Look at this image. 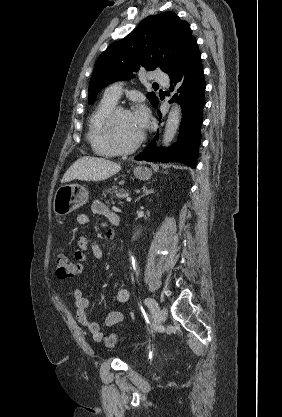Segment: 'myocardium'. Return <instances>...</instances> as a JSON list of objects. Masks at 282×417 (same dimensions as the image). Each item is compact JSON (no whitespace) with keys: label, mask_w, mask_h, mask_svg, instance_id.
I'll list each match as a JSON object with an SVG mask.
<instances>
[{"label":"myocardium","mask_w":282,"mask_h":417,"mask_svg":"<svg viewBox=\"0 0 282 417\" xmlns=\"http://www.w3.org/2000/svg\"><path fill=\"white\" fill-rule=\"evenodd\" d=\"M122 114H133L132 111L125 109L121 106H116L113 108L104 118V123L107 129V133L104 136L107 144L115 152H127L138 148L145 140L146 134L142 131L141 136L134 143L131 144H121L117 141L114 135V126L116 119Z\"/></svg>","instance_id":"f54148a6"}]
</instances>
